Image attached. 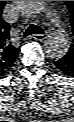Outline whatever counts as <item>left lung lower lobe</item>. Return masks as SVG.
Returning <instances> with one entry per match:
<instances>
[{
  "instance_id": "0a47b994",
  "label": "left lung lower lobe",
  "mask_w": 74,
  "mask_h": 122,
  "mask_svg": "<svg viewBox=\"0 0 74 122\" xmlns=\"http://www.w3.org/2000/svg\"><path fill=\"white\" fill-rule=\"evenodd\" d=\"M55 66L66 76L74 77V58L66 54L60 59L53 60Z\"/></svg>"
}]
</instances>
